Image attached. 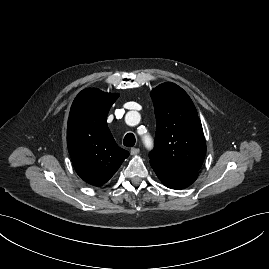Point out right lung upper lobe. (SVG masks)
Returning <instances> with one entry per match:
<instances>
[{"mask_svg": "<svg viewBox=\"0 0 269 269\" xmlns=\"http://www.w3.org/2000/svg\"><path fill=\"white\" fill-rule=\"evenodd\" d=\"M119 94L82 90L71 106L67 144L77 174L87 183L105 184L129 152L120 148L107 126V115Z\"/></svg>", "mask_w": 269, "mask_h": 269, "instance_id": "obj_1", "label": "right lung upper lobe"}]
</instances>
